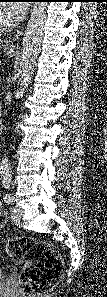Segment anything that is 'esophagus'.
I'll return each mask as SVG.
<instances>
[{"instance_id":"1","label":"esophagus","mask_w":107,"mask_h":297,"mask_svg":"<svg viewBox=\"0 0 107 297\" xmlns=\"http://www.w3.org/2000/svg\"><path fill=\"white\" fill-rule=\"evenodd\" d=\"M21 35H22V29L17 30V32L14 34L13 38L7 42L6 47L7 48H15V42Z\"/></svg>"}]
</instances>
